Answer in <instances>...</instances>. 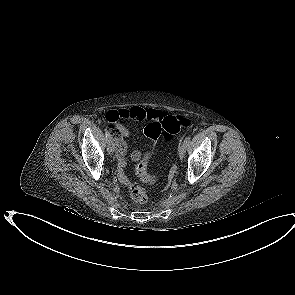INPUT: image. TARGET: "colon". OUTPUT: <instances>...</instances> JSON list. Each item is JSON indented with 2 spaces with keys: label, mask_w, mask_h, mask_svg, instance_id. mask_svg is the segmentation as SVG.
Returning a JSON list of instances; mask_svg holds the SVG:
<instances>
[{
  "label": "colon",
  "mask_w": 295,
  "mask_h": 295,
  "mask_svg": "<svg viewBox=\"0 0 295 295\" xmlns=\"http://www.w3.org/2000/svg\"><path fill=\"white\" fill-rule=\"evenodd\" d=\"M191 122L184 116H165L159 122H151L144 128L143 134L150 142L145 151V157L136 165L135 173L144 182L151 183L156 180L155 176L147 173L148 157H151L158 146L159 137L169 140L180 131L188 129ZM130 196L137 204H144L148 201V195L144 188L138 183L130 186Z\"/></svg>",
  "instance_id": "obj_1"
}]
</instances>
